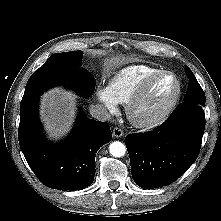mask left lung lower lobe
Segmentation results:
<instances>
[{"mask_svg":"<svg viewBox=\"0 0 221 221\" xmlns=\"http://www.w3.org/2000/svg\"><path fill=\"white\" fill-rule=\"evenodd\" d=\"M204 129L202 106L183 102L155 130L128 135L125 144L135 183L145 189L173 183L197 159Z\"/></svg>","mask_w":221,"mask_h":221,"instance_id":"1","label":"left lung lower lobe"}]
</instances>
